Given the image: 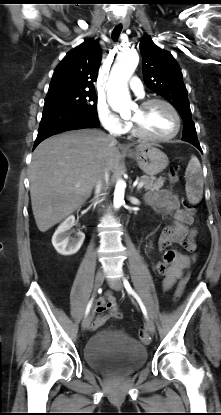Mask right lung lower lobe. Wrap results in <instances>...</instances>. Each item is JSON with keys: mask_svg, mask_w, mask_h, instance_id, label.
I'll use <instances>...</instances> for the list:
<instances>
[{"mask_svg": "<svg viewBox=\"0 0 221 415\" xmlns=\"http://www.w3.org/2000/svg\"><path fill=\"white\" fill-rule=\"evenodd\" d=\"M98 117L67 108H44L34 148L46 138L69 130L96 128Z\"/></svg>", "mask_w": 221, "mask_h": 415, "instance_id": "right-lung-lower-lobe-1", "label": "right lung lower lobe"}]
</instances>
